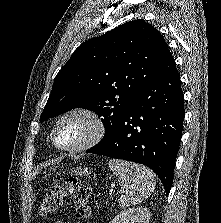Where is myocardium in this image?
Instances as JSON below:
<instances>
[{"mask_svg":"<svg viewBox=\"0 0 221 223\" xmlns=\"http://www.w3.org/2000/svg\"><path fill=\"white\" fill-rule=\"evenodd\" d=\"M73 115H81L85 117L86 119H88L92 125L91 132L89 136L79 144L71 145V146L59 145L56 140L57 129L63 120ZM106 130H107L106 124L103 118L99 114H97L95 111L86 107H74V108L66 110L57 118L51 131V140H52L53 145L59 150L69 151V152L82 151L99 143L105 136Z\"/></svg>","mask_w":221,"mask_h":223,"instance_id":"obj_1","label":"myocardium"}]
</instances>
